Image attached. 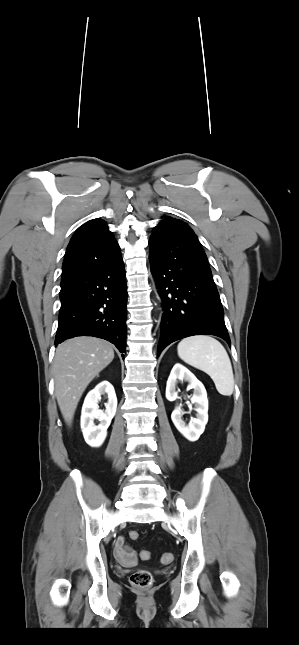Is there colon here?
<instances>
[{"label":"colon","mask_w":299,"mask_h":645,"mask_svg":"<svg viewBox=\"0 0 299 645\" xmlns=\"http://www.w3.org/2000/svg\"><path fill=\"white\" fill-rule=\"evenodd\" d=\"M132 540H137L139 538V533L137 531H131L129 534ZM140 557L143 560H148L150 558V552L143 550L140 553ZM173 555L172 553H163L161 556V561L165 564L172 562ZM130 582L133 586L137 588H147L152 582V576L150 572L146 570H138L130 576Z\"/></svg>","instance_id":"obj_1"}]
</instances>
